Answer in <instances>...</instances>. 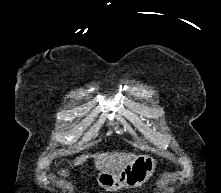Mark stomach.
I'll return each instance as SVG.
<instances>
[{
    "mask_svg": "<svg viewBox=\"0 0 221 193\" xmlns=\"http://www.w3.org/2000/svg\"><path fill=\"white\" fill-rule=\"evenodd\" d=\"M156 161L149 155H139L119 172L100 171L96 180L107 191L136 188L144 184L154 173Z\"/></svg>",
    "mask_w": 221,
    "mask_h": 193,
    "instance_id": "0dacf381",
    "label": "stomach"
}]
</instances>
